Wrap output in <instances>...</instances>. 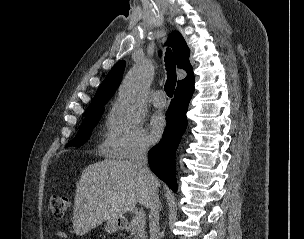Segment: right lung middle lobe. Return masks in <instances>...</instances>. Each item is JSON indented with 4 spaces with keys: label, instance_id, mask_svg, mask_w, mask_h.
<instances>
[{
    "label": "right lung middle lobe",
    "instance_id": "1",
    "mask_svg": "<svg viewBox=\"0 0 304 239\" xmlns=\"http://www.w3.org/2000/svg\"><path fill=\"white\" fill-rule=\"evenodd\" d=\"M103 111H104V106L87 109L83 114L85 118L82 121L78 134L73 139V141L69 142L66 146L79 147L84 143H86L90 137L92 129L98 123Z\"/></svg>",
    "mask_w": 304,
    "mask_h": 239
}]
</instances>
